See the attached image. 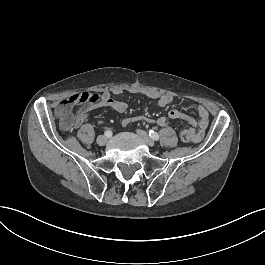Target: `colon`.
I'll return each instance as SVG.
<instances>
[{
	"mask_svg": "<svg viewBox=\"0 0 265 265\" xmlns=\"http://www.w3.org/2000/svg\"><path fill=\"white\" fill-rule=\"evenodd\" d=\"M95 99H96V96L93 93L72 94L70 95V97L65 98L63 101L64 106L60 105L56 110L57 115L61 121V124L66 127L72 124L73 119L76 115V112L72 110L70 106H72L73 104L77 102H84V101L93 102L95 101ZM180 137L183 142L191 143L190 135L186 131H184L182 128H181Z\"/></svg>",
	"mask_w": 265,
	"mask_h": 265,
	"instance_id": "obj_1",
	"label": "colon"
}]
</instances>
